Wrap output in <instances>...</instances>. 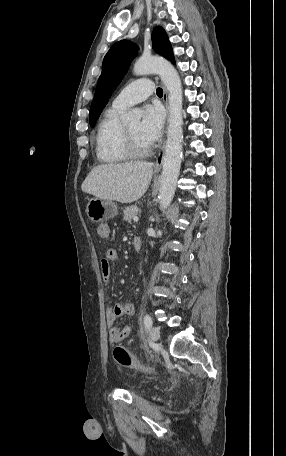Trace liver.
I'll use <instances>...</instances> for the list:
<instances>
[{
	"mask_svg": "<svg viewBox=\"0 0 286 456\" xmlns=\"http://www.w3.org/2000/svg\"><path fill=\"white\" fill-rule=\"evenodd\" d=\"M152 175L153 164L145 161L103 164L91 170L81 189L96 198L131 203L145 194Z\"/></svg>",
	"mask_w": 286,
	"mask_h": 456,
	"instance_id": "6515ba94",
	"label": "liver"
}]
</instances>
